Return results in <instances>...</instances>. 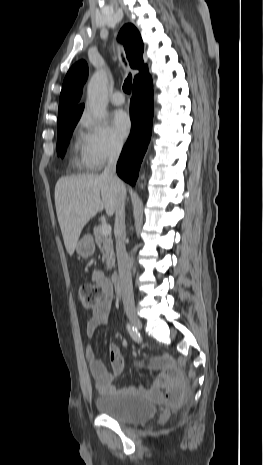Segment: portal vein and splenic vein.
<instances>
[{
	"label": "portal vein and splenic vein",
	"mask_w": 263,
	"mask_h": 465,
	"mask_svg": "<svg viewBox=\"0 0 263 465\" xmlns=\"http://www.w3.org/2000/svg\"><path fill=\"white\" fill-rule=\"evenodd\" d=\"M101 232L103 235L111 234V226L108 224H103L101 228Z\"/></svg>",
	"instance_id": "portal-vein-and-splenic-vein-1"
}]
</instances>
